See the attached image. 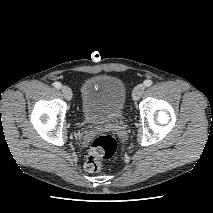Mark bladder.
Returning <instances> with one entry per match:
<instances>
[{"label": "bladder", "mask_w": 213, "mask_h": 213, "mask_svg": "<svg viewBox=\"0 0 213 213\" xmlns=\"http://www.w3.org/2000/svg\"><path fill=\"white\" fill-rule=\"evenodd\" d=\"M126 100L123 81L115 76L95 75L81 86V113L86 122L94 125L117 121Z\"/></svg>", "instance_id": "31cf9c89"}]
</instances>
